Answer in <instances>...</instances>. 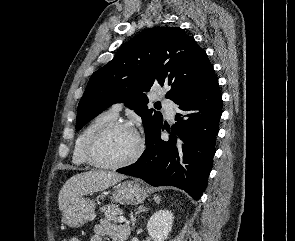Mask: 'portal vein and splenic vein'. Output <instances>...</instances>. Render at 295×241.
<instances>
[{
  "label": "portal vein and splenic vein",
  "instance_id": "obj_1",
  "mask_svg": "<svg viewBox=\"0 0 295 241\" xmlns=\"http://www.w3.org/2000/svg\"><path fill=\"white\" fill-rule=\"evenodd\" d=\"M119 222L123 223L126 222V218L124 216H119L118 217Z\"/></svg>",
  "mask_w": 295,
  "mask_h": 241
}]
</instances>
